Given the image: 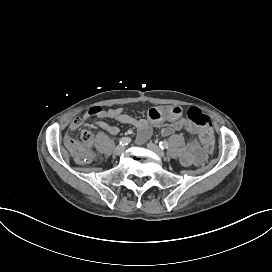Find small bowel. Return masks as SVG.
<instances>
[{
    "instance_id": "obj_1",
    "label": "small bowel",
    "mask_w": 272,
    "mask_h": 272,
    "mask_svg": "<svg viewBox=\"0 0 272 272\" xmlns=\"http://www.w3.org/2000/svg\"><path fill=\"white\" fill-rule=\"evenodd\" d=\"M113 119L119 123L132 125L138 131V141H146L152 132L153 127H161L163 136H170L179 132L187 126V120L183 117L182 109L178 106L153 107L148 111L147 118H136L124 112L122 108L104 109L101 106L90 107L81 117L75 118L70 130H77L84 123H94L99 128L112 135L119 133V128L104 121ZM82 132H89L84 130ZM91 133V132H89ZM70 136H66V139ZM65 139V140H66ZM204 155L194 139H188L187 145L182 153V163L185 166L199 165Z\"/></svg>"
}]
</instances>
